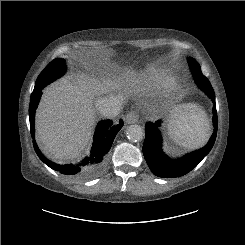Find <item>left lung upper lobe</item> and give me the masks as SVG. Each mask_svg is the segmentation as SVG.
<instances>
[{
    "instance_id": "5c2ea615",
    "label": "left lung upper lobe",
    "mask_w": 245,
    "mask_h": 245,
    "mask_svg": "<svg viewBox=\"0 0 245 245\" xmlns=\"http://www.w3.org/2000/svg\"><path fill=\"white\" fill-rule=\"evenodd\" d=\"M188 62L197 85L202 89L205 87H210L211 84L209 80L203 76L200 65L192 57L188 58Z\"/></svg>"
}]
</instances>
